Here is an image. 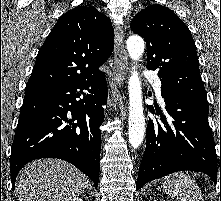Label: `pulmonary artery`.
Here are the masks:
<instances>
[{"mask_svg": "<svg viewBox=\"0 0 221 201\" xmlns=\"http://www.w3.org/2000/svg\"><path fill=\"white\" fill-rule=\"evenodd\" d=\"M143 75L148 81L154 84L156 93L158 94V96H161V81L158 78L157 74L152 71L146 70L144 71Z\"/></svg>", "mask_w": 221, "mask_h": 201, "instance_id": "obj_1", "label": "pulmonary artery"}]
</instances>
